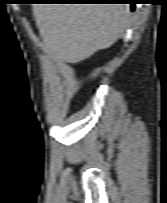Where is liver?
Returning <instances> with one entry per match:
<instances>
[{
  "instance_id": "liver-1",
  "label": "liver",
  "mask_w": 167,
  "mask_h": 203,
  "mask_svg": "<svg viewBox=\"0 0 167 203\" xmlns=\"http://www.w3.org/2000/svg\"><path fill=\"white\" fill-rule=\"evenodd\" d=\"M33 13L50 53L68 63L110 47L129 24L123 5L36 4Z\"/></svg>"
}]
</instances>
